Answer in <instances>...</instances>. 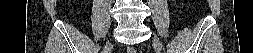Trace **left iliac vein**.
Returning <instances> with one entry per match:
<instances>
[{
    "instance_id": "4c4485c4",
    "label": "left iliac vein",
    "mask_w": 253,
    "mask_h": 53,
    "mask_svg": "<svg viewBox=\"0 0 253 53\" xmlns=\"http://www.w3.org/2000/svg\"><path fill=\"white\" fill-rule=\"evenodd\" d=\"M153 42L157 49H161L162 45L157 37H154Z\"/></svg>"
}]
</instances>
